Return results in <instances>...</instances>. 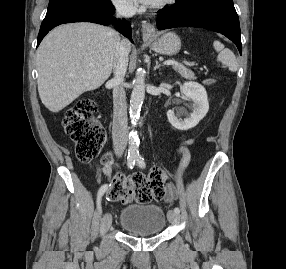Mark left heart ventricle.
<instances>
[{"instance_id": "b2bd125f", "label": "left heart ventricle", "mask_w": 286, "mask_h": 269, "mask_svg": "<svg viewBox=\"0 0 286 269\" xmlns=\"http://www.w3.org/2000/svg\"><path fill=\"white\" fill-rule=\"evenodd\" d=\"M158 1H160V0H155V2H154V3H157Z\"/></svg>"}]
</instances>
